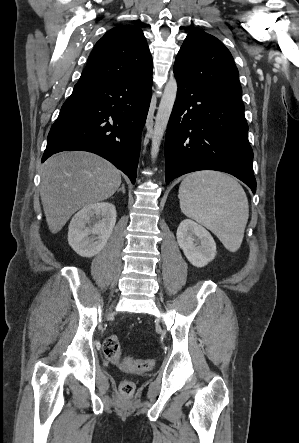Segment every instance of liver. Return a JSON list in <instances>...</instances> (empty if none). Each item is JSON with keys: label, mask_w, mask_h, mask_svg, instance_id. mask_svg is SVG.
I'll use <instances>...</instances> for the list:
<instances>
[{"label": "liver", "mask_w": 299, "mask_h": 443, "mask_svg": "<svg viewBox=\"0 0 299 443\" xmlns=\"http://www.w3.org/2000/svg\"><path fill=\"white\" fill-rule=\"evenodd\" d=\"M121 184V172L102 157L66 151L41 168L40 197L49 230L59 232L79 209L106 200Z\"/></svg>", "instance_id": "liver-1"}]
</instances>
